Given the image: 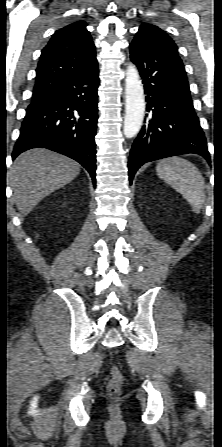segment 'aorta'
Listing matches in <instances>:
<instances>
[{"label": "aorta", "mask_w": 222, "mask_h": 447, "mask_svg": "<svg viewBox=\"0 0 222 447\" xmlns=\"http://www.w3.org/2000/svg\"><path fill=\"white\" fill-rule=\"evenodd\" d=\"M145 112L143 85L137 68L130 64L125 79V116L123 133L132 138L140 131Z\"/></svg>", "instance_id": "obj_1"}]
</instances>
